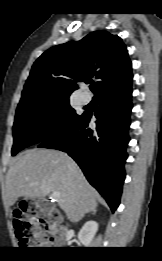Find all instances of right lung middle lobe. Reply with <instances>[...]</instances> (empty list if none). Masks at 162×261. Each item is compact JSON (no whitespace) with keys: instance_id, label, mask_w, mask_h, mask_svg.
Listing matches in <instances>:
<instances>
[{"instance_id":"obj_1","label":"right lung middle lobe","mask_w":162,"mask_h":261,"mask_svg":"<svg viewBox=\"0 0 162 261\" xmlns=\"http://www.w3.org/2000/svg\"><path fill=\"white\" fill-rule=\"evenodd\" d=\"M68 97L40 95L20 101L13 125L12 155L67 128L80 116L70 107Z\"/></svg>"}]
</instances>
